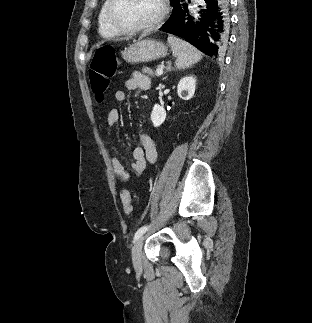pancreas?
<instances>
[{"mask_svg":"<svg viewBox=\"0 0 312 323\" xmlns=\"http://www.w3.org/2000/svg\"><path fill=\"white\" fill-rule=\"evenodd\" d=\"M142 74H148V76H154V72H152L150 68H145V66H143L142 68Z\"/></svg>","mask_w":312,"mask_h":323,"instance_id":"cf45deb5","label":"pancreas"}]
</instances>
